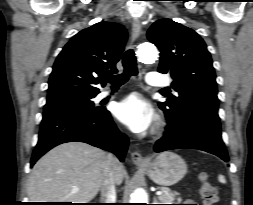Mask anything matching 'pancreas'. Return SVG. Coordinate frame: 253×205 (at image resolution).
<instances>
[{"mask_svg":"<svg viewBox=\"0 0 253 205\" xmlns=\"http://www.w3.org/2000/svg\"><path fill=\"white\" fill-rule=\"evenodd\" d=\"M160 190L163 192V194L159 196V201L162 204H175V200H177V202L182 201L181 198L176 199V196L178 195L177 192H172L167 187H160Z\"/></svg>","mask_w":253,"mask_h":205,"instance_id":"1","label":"pancreas"}]
</instances>
